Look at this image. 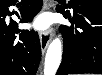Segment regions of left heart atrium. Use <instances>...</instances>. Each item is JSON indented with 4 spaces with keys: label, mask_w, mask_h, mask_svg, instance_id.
<instances>
[{
    "label": "left heart atrium",
    "mask_w": 102,
    "mask_h": 75,
    "mask_svg": "<svg viewBox=\"0 0 102 75\" xmlns=\"http://www.w3.org/2000/svg\"><path fill=\"white\" fill-rule=\"evenodd\" d=\"M51 19L49 15L42 14L36 18L34 21V27L41 31H47L51 25Z\"/></svg>",
    "instance_id": "left-heart-atrium-1"
}]
</instances>
